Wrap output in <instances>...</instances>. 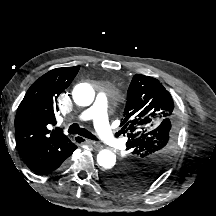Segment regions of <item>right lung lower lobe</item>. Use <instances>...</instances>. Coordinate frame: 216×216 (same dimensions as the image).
<instances>
[{
    "instance_id": "obj_1",
    "label": "right lung lower lobe",
    "mask_w": 216,
    "mask_h": 216,
    "mask_svg": "<svg viewBox=\"0 0 216 216\" xmlns=\"http://www.w3.org/2000/svg\"><path fill=\"white\" fill-rule=\"evenodd\" d=\"M76 149L71 150L70 152H68L67 154H63L60 155L52 160H50L48 163H46L45 165L32 170L33 172H35L36 174H40V175H47V174H51L53 173L55 170L60 169L63 165L65 160L72 155L73 151Z\"/></svg>"
}]
</instances>
